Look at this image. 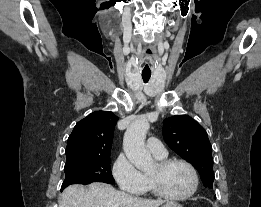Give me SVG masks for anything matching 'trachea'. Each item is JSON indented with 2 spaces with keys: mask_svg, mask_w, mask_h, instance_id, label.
Wrapping results in <instances>:
<instances>
[{
  "mask_svg": "<svg viewBox=\"0 0 261 207\" xmlns=\"http://www.w3.org/2000/svg\"><path fill=\"white\" fill-rule=\"evenodd\" d=\"M150 77H151V74H145V73L142 74V79H143L144 83H147L149 81Z\"/></svg>",
  "mask_w": 261,
  "mask_h": 207,
  "instance_id": "trachea-1",
  "label": "trachea"
}]
</instances>
